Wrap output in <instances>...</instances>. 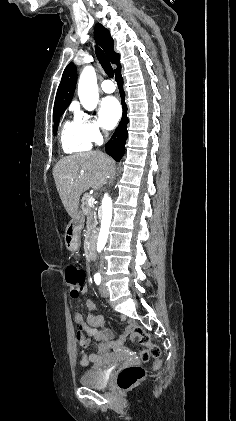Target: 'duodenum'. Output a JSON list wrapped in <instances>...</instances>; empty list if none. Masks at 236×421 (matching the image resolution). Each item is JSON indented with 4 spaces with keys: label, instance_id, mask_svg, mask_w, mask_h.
<instances>
[{
    "label": "duodenum",
    "instance_id": "410a0bca",
    "mask_svg": "<svg viewBox=\"0 0 236 421\" xmlns=\"http://www.w3.org/2000/svg\"><path fill=\"white\" fill-rule=\"evenodd\" d=\"M97 235L92 234L89 239L88 244V253L91 259L95 258V249H96ZM83 331H86L90 335L96 336L98 339L102 337L103 330L87 328L85 324L81 325L80 331L78 332V339L81 345L85 346L88 343V340L83 336ZM124 339L122 338L118 345L123 343ZM112 346L111 343H105L100 345L99 353L91 355V361L96 362L98 365L111 363L117 357L116 355L109 354V348Z\"/></svg>",
    "mask_w": 236,
    "mask_h": 421
}]
</instances>
